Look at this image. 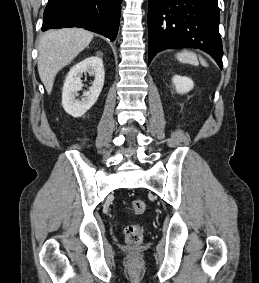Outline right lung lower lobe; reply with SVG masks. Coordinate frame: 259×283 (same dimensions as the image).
Returning a JSON list of instances; mask_svg holds the SVG:
<instances>
[{"label":"right lung lower lobe","mask_w":259,"mask_h":283,"mask_svg":"<svg viewBox=\"0 0 259 283\" xmlns=\"http://www.w3.org/2000/svg\"><path fill=\"white\" fill-rule=\"evenodd\" d=\"M122 0H48L42 31L82 27L114 41L119 28Z\"/></svg>","instance_id":"98d812e1"}]
</instances>
